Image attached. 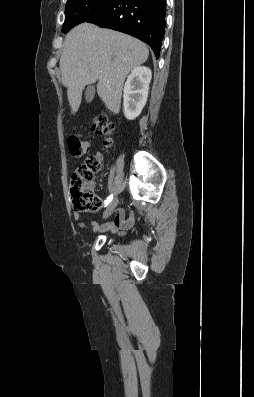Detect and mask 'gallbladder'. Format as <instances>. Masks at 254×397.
<instances>
[{
	"mask_svg": "<svg viewBox=\"0 0 254 397\" xmlns=\"http://www.w3.org/2000/svg\"><path fill=\"white\" fill-rule=\"evenodd\" d=\"M94 94H95V87L93 85H89L86 88V91H85V99H86V101L87 102L92 101L93 98H94Z\"/></svg>",
	"mask_w": 254,
	"mask_h": 397,
	"instance_id": "gallbladder-1",
	"label": "gallbladder"
}]
</instances>
